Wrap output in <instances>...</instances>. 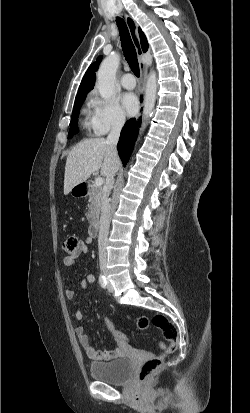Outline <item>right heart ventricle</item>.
I'll return each mask as SVG.
<instances>
[{"instance_id":"e07e8e85","label":"right heart ventricle","mask_w":250,"mask_h":413,"mask_svg":"<svg viewBox=\"0 0 250 413\" xmlns=\"http://www.w3.org/2000/svg\"><path fill=\"white\" fill-rule=\"evenodd\" d=\"M83 114L85 115V118H84V120H83V126H84V128H86V129L92 128L91 120H89V119L87 118V115L89 114V109H88V108H84V109H83Z\"/></svg>"}]
</instances>
